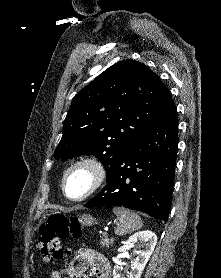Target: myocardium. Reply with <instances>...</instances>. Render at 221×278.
<instances>
[{
	"label": "myocardium",
	"instance_id": "obj_1",
	"mask_svg": "<svg viewBox=\"0 0 221 278\" xmlns=\"http://www.w3.org/2000/svg\"><path fill=\"white\" fill-rule=\"evenodd\" d=\"M81 167L87 168L91 171L92 174L91 183L89 188L86 190V192L83 193L81 196L71 197L66 192L67 179L72 171ZM106 179H107V169L103 164V162L96 157L86 156V157L78 158L66 168L62 177L61 188L64 196L68 200L73 202H81L88 199L93 194H95L104 185Z\"/></svg>",
	"mask_w": 221,
	"mask_h": 278
}]
</instances>
